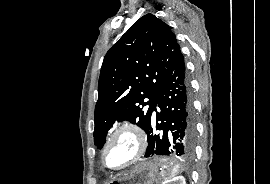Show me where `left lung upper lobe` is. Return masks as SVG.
Segmentation results:
<instances>
[{
  "label": "left lung upper lobe",
  "mask_w": 270,
  "mask_h": 184,
  "mask_svg": "<svg viewBox=\"0 0 270 184\" xmlns=\"http://www.w3.org/2000/svg\"><path fill=\"white\" fill-rule=\"evenodd\" d=\"M180 54L170 27L152 14L137 20L107 52L95 107L94 143L99 149L115 121L147 130L158 91Z\"/></svg>",
  "instance_id": "obj_1"
}]
</instances>
